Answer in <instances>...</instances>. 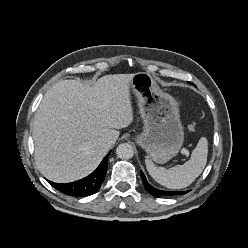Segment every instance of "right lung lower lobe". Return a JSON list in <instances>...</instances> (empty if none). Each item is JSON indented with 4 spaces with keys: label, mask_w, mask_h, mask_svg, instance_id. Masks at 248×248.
Masks as SVG:
<instances>
[{
    "label": "right lung lower lobe",
    "mask_w": 248,
    "mask_h": 248,
    "mask_svg": "<svg viewBox=\"0 0 248 248\" xmlns=\"http://www.w3.org/2000/svg\"><path fill=\"white\" fill-rule=\"evenodd\" d=\"M109 155L110 152L106 155V157L93 173L81 180L66 184L54 183L51 181L48 182L58 191L67 195L75 197H85L92 195L98 191L105 179Z\"/></svg>",
    "instance_id": "98d812e1"
}]
</instances>
